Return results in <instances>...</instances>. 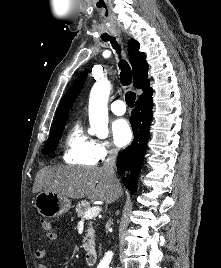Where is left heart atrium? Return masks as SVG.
<instances>
[{
  "instance_id": "left-heart-atrium-1",
  "label": "left heart atrium",
  "mask_w": 221,
  "mask_h": 268,
  "mask_svg": "<svg viewBox=\"0 0 221 268\" xmlns=\"http://www.w3.org/2000/svg\"><path fill=\"white\" fill-rule=\"evenodd\" d=\"M112 136L117 146H126L132 139V131L129 123L125 119L114 121L112 124Z\"/></svg>"
}]
</instances>
